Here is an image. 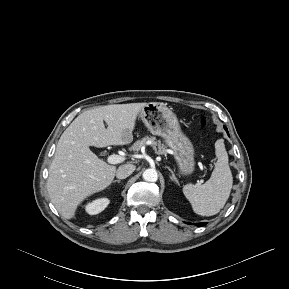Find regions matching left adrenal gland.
I'll use <instances>...</instances> for the list:
<instances>
[{
    "instance_id": "left-adrenal-gland-1",
    "label": "left adrenal gland",
    "mask_w": 289,
    "mask_h": 289,
    "mask_svg": "<svg viewBox=\"0 0 289 289\" xmlns=\"http://www.w3.org/2000/svg\"><path fill=\"white\" fill-rule=\"evenodd\" d=\"M166 168H167V169L170 171V173H171V176H170L171 180L174 181L176 184H179V182H178L175 174H174L173 171L171 170V168H170V167H166Z\"/></svg>"
}]
</instances>
